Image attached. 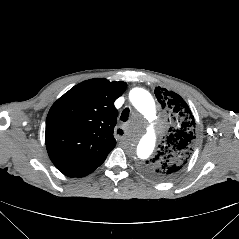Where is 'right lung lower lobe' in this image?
Segmentation results:
<instances>
[{"label":"right lung lower lobe","instance_id":"obj_1","mask_svg":"<svg viewBox=\"0 0 239 239\" xmlns=\"http://www.w3.org/2000/svg\"><path fill=\"white\" fill-rule=\"evenodd\" d=\"M103 162H104V161H103ZM103 162H102V163H103ZM102 163H101V164H102ZM101 164H99L97 167H99ZM97 167H95L94 169H92L91 171H89L88 173H86V174H84V175H82V176H80V177H83V176H85V175H88L89 173L93 172Z\"/></svg>","mask_w":239,"mask_h":239}]
</instances>
